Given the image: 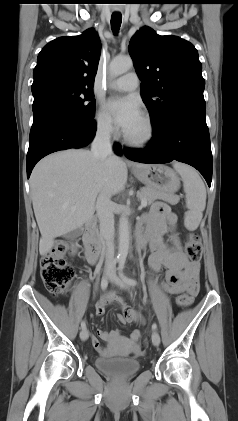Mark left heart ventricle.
Returning a JSON list of instances; mask_svg holds the SVG:
<instances>
[{"label":"left heart ventricle","instance_id":"obj_1","mask_svg":"<svg viewBox=\"0 0 238 421\" xmlns=\"http://www.w3.org/2000/svg\"><path fill=\"white\" fill-rule=\"evenodd\" d=\"M125 133L133 139L142 138L146 133V127L142 117H140L131 127H129Z\"/></svg>","mask_w":238,"mask_h":421}]
</instances>
